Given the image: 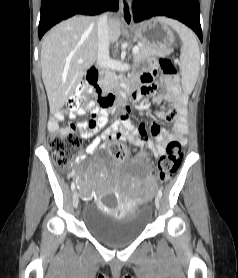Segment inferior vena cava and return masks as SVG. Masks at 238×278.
<instances>
[{
    "instance_id": "inferior-vena-cava-1",
    "label": "inferior vena cava",
    "mask_w": 238,
    "mask_h": 278,
    "mask_svg": "<svg viewBox=\"0 0 238 278\" xmlns=\"http://www.w3.org/2000/svg\"><path fill=\"white\" fill-rule=\"evenodd\" d=\"M98 52L97 64L106 67L110 61L109 57V28L107 13L100 16L97 23Z\"/></svg>"
}]
</instances>
